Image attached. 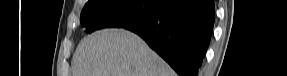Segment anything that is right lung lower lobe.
Wrapping results in <instances>:
<instances>
[{"instance_id": "obj_1", "label": "right lung lower lobe", "mask_w": 287, "mask_h": 76, "mask_svg": "<svg viewBox=\"0 0 287 76\" xmlns=\"http://www.w3.org/2000/svg\"><path fill=\"white\" fill-rule=\"evenodd\" d=\"M214 17L213 0H162L150 18L125 29L143 38L179 76H198Z\"/></svg>"}]
</instances>
